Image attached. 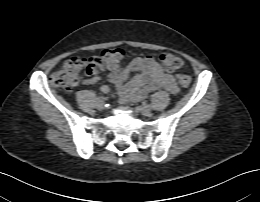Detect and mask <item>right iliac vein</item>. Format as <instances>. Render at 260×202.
<instances>
[{
	"mask_svg": "<svg viewBox=\"0 0 260 202\" xmlns=\"http://www.w3.org/2000/svg\"><path fill=\"white\" fill-rule=\"evenodd\" d=\"M97 107H98L99 110H103V109L105 108V103H104V101H99V102L97 103Z\"/></svg>",
	"mask_w": 260,
	"mask_h": 202,
	"instance_id": "obj_1",
	"label": "right iliac vein"
}]
</instances>
